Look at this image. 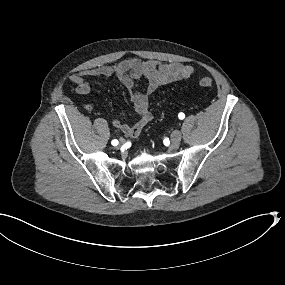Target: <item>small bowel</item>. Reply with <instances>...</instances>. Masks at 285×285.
Listing matches in <instances>:
<instances>
[{
  "mask_svg": "<svg viewBox=\"0 0 285 285\" xmlns=\"http://www.w3.org/2000/svg\"><path fill=\"white\" fill-rule=\"evenodd\" d=\"M193 73V67L177 62L129 58L112 65L72 74L70 81L75 85V92L78 95H85L91 90V85L87 78L115 77L118 79L128 90L130 101L139 118L133 125H128L116 118L112 120V125L122 131L127 137L134 138L152 120V114L149 109L150 95L161 86L190 78ZM141 77L147 80V85L143 91H137V81ZM83 106L87 111L93 110L91 104L85 103Z\"/></svg>",
  "mask_w": 285,
  "mask_h": 285,
  "instance_id": "1",
  "label": "small bowel"
}]
</instances>
